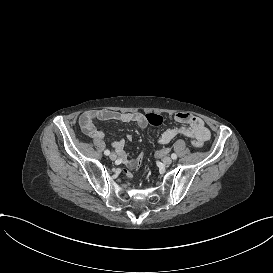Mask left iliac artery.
<instances>
[{
  "label": "left iliac artery",
  "mask_w": 273,
  "mask_h": 273,
  "mask_svg": "<svg viewBox=\"0 0 273 273\" xmlns=\"http://www.w3.org/2000/svg\"><path fill=\"white\" fill-rule=\"evenodd\" d=\"M171 158L175 160L177 158V155L175 153L171 154Z\"/></svg>",
  "instance_id": "left-iliac-artery-1"
}]
</instances>
